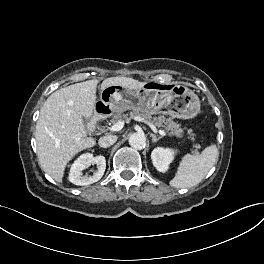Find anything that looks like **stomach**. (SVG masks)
<instances>
[{
    "label": "stomach",
    "mask_w": 264,
    "mask_h": 264,
    "mask_svg": "<svg viewBox=\"0 0 264 264\" xmlns=\"http://www.w3.org/2000/svg\"><path fill=\"white\" fill-rule=\"evenodd\" d=\"M126 110L191 119L200 111V100L194 91L180 85L159 89L154 83H146L136 91L112 85L101 91L94 112L97 116L108 117Z\"/></svg>",
    "instance_id": "obj_1"
}]
</instances>
